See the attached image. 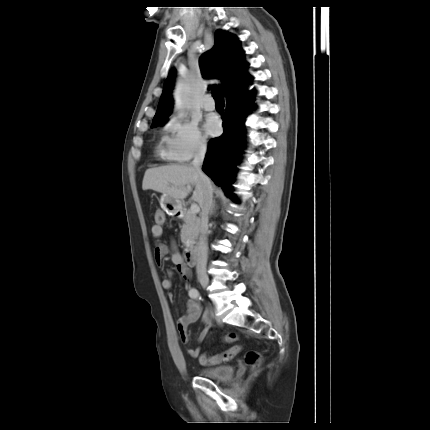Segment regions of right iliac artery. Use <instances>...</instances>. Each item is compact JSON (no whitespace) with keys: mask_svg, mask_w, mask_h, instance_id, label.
Instances as JSON below:
<instances>
[{"mask_svg":"<svg viewBox=\"0 0 430 430\" xmlns=\"http://www.w3.org/2000/svg\"><path fill=\"white\" fill-rule=\"evenodd\" d=\"M189 296L193 299H201L199 291L196 288H191L189 290Z\"/></svg>","mask_w":430,"mask_h":430,"instance_id":"obj_1","label":"right iliac artery"}]
</instances>
